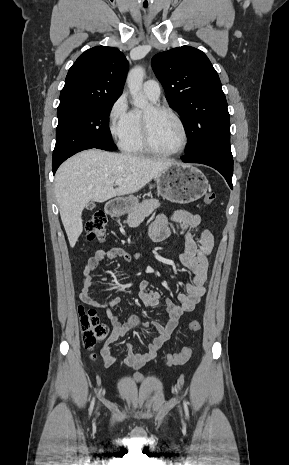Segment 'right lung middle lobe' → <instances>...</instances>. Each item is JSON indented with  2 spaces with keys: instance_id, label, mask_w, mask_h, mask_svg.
Returning <instances> with one entry per match:
<instances>
[{
  "instance_id": "obj_1",
  "label": "right lung middle lobe",
  "mask_w": 289,
  "mask_h": 465,
  "mask_svg": "<svg viewBox=\"0 0 289 465\" xmlns=\"http://www.w3.org/2000/svg\"><path fill=\"white\" fill-rule=\"evenodd\" d=\"M116 100L58 109L59 122L53 162L66 160L75 153L90 148L116 150L108 126L109 112Z\"/></svg>"
}]
</instances>
